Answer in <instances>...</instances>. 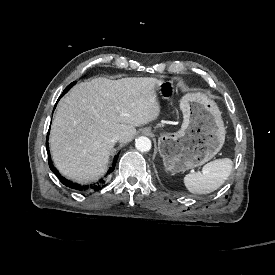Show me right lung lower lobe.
<instances>
[{"label": "right lung lower lobe", "instance_id": "obj_1", "mask_svg": "<svg viewBox=\"0 0 275 275\" xmlns=\"http://www.w3.org/2000/svg\"><path fill=\"white\" fill-rule=\"evenodd\" d=\"M48 134H49V132H48ZM47 140H48V137H47ZM46 148H47L48 154H50L49 147H48V142L47 141H46ZM117 157L118 156H116L114 158L113 165H112L111 169L108 171V173H111V171L114 170V167H115L116 161H117ZM49 167L56 174V176L59 178V180L61 181V183L64 184L65 186H67L69 188H72V189H75V190H79V191H83V190H86V189L89 188V186H87V185H80L78 183H75L73 181H70V180L62 177L60 175V173L56 170V168L52 165V161H51L50 157H49ZM103 184H104V181L100 180L99 183H97V185H94V186L91 185L90 187L92 189H94V190H100L103 187Z\"/></svg>", "mask_w": 275, "mask_h": 275}]
</instances>
